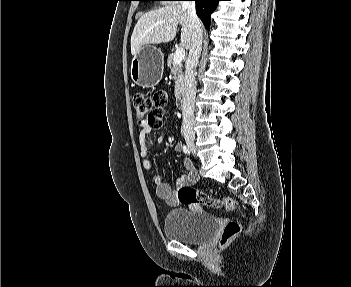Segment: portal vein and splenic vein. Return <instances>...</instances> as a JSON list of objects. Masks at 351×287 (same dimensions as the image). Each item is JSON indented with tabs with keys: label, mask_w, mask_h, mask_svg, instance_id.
<instances>
[{
	"label": "portal vein and splenic vein",
	"mask_w": 351,
	"mask_h": 287,
	"mask_svg": "<svg viewBox=\"0 0 351 287\" xmlns=\"http://www.w3.org/2000/svg\"><path fill=\"white\" fill-rule=\"evenodd\" d=\"M185 57V50L183 48H178L174 54V63L179 64Z\"/></svg>",
	"instance_id": "1"
}]
</instances>
